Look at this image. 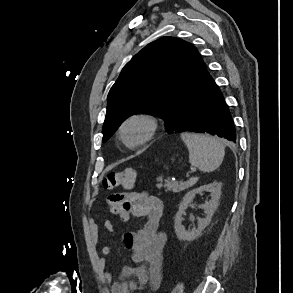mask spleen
Listing matches in <instances>:
<instances>
[{
	"label": "spleen",
	"instance_id": "obj_1",
	"mask_svg": "<svg viewBox=\"0 0 293 293\" xmlns=\"http://www.w3.org/2000/svg\"><path fill=\"white\" fill-rule=\"evenodd\" d=\"M181 139L189 151V162L203 172L217 169L225 155V146L217 138L209 135L183 132Z\"/></svg>",
	"mask_w": 293,
	"mask_h": 293
}]
</instances>
